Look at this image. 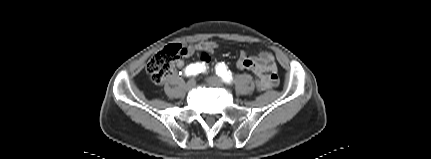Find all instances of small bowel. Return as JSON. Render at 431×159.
Listing matches in <instances>:
<instances>
[{
	"mask_svg": "<svg viewBox=\"0 0 431 159\" xmlns=\"http://www.w3.org/2000/svg\"><path fill=\"white\" fill-rule=\"evenodd\" d=\"M196 46L209 48L211 54L217 47V44L213 41H205L189 47L195 48ZM204 53L209 54L208 52H201L200 57L201 54ZM236 65L238 69H247L252 71L261 81V90L273 88L277 86L279 82L278 67L273 55L269 52H260L258 55L254 56L246 51H242ZM175 66L178 69L183 68L184 61L178 60Z\"/></svg>",
	"mask_w": 431,
	"mask_h": 159,
	"instance_id": "c3829d8e",
	"label": "small bowel"
}]
</instances>
